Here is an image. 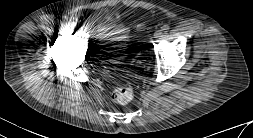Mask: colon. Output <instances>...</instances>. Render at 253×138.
Listing matches in <instances>:
<instances>
[{
    "label": "colon",
    "mask_w": 253,
    "mask_h": 138,
    "mask_svg": "<svg viewBox=\"0 0 253 138\" xmlns=\"http://www.w3.org/2000/svg\"><path fill=\"white\" fill-rule=\"evenodd\" d=\"M144 30V27H141ZM133 98V91L130 87H119L113 92V99L119 104H127Z\"/></svg>",
    "instance_id": "1"
}]
</instances>
